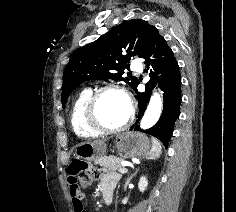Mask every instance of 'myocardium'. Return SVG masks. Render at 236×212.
<instances>
[{
  "label": "myocardium",
  "mask_w": 236,
  "mask_h": 212,
  "mask_svg": "<svg viewBox=\"0 0 236 212\" xmlns=\"http://www.w3.org/2000/svg\"><path fill=\"white\" fill-rule=\"evenodd\" d=\"M107 91H118L127 100L129 112L126 120L117 128L104 127L97 116V104L101 95ZM135 116V105L130 93L121 85L109 83L95 89L90 95L85 107V121L88 127L99 134H117L125 131L133 122Z\"/></svg>",
  "instance_id": "f54148a6"
}]
</instances>
